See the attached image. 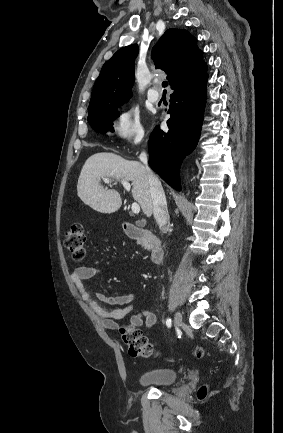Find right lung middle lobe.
Here are the masks:
<instances>
[{
  "label": "right lung middle lobe",
  "mask_w": 283,
  "mask_h": 433,
  "mask_svg": "<svg viewBox=\"0 0 283 433\" xmlns=\"http://www.w3.org/2000/svg\"><path fill=\"white\" fill-rule=\"evenodd\" d=\"M121 104L99 109L88 114V122L97 132L113 131V120L120 114L117 107Z\"/></svg>",
  "instance_id": "obj_1"
}]
</instances>
